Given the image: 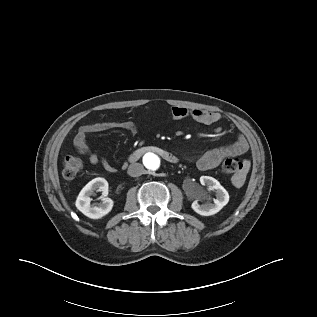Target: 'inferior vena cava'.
Wrapping results in <instances>:
<instances>
[{"label": "inferior vena cava", "mask_w": 317, "mask_h": 317, "mask_svg": "<svg viewBox=\"0 0 317 317\" xmlns=\"http://www.w3.org/2000/svg\"><path fill=\"white\" fill-rule=\"evenodd\" d=\"M127 173L131 177H138L141 176L144 173V167L140 163H133L130 164L127 170Z\"/></svg>", "instance_id": "602c4592"}]
</instances>
